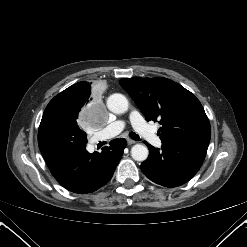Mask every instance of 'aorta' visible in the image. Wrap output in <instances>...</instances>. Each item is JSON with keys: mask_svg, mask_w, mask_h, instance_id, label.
<instances>
[{"mask_svg": "<svg viewBox=\"0 0 247 247\" xmlns=\"http://www.w3.org/2000/svg\"><path fill=\"white\" fill-rule=\"evenodd\" d=\"M107 107L115 114H123L128 110L129 103L124 95L120 93H114L108 97ZM148 155L149 150L143 144H135L131 148V156L136 161H145Z\"/></svg>", "mask_w": 247, "mask_h": 247, "instance_id": "762f6f07", "label": "aorta"}]
</instances>
